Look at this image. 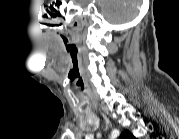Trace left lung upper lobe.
<instances>
[{
	"label": "left lung upper lobe",
	"mask_w": 179,
	"mask_h": 139,
	"mask_svg": "<svg viewBox=\"0 0 179 139\" xmlns=\"http://www.w3.org/2000/svg\"><path fill=\"white\" fill-rule=\"evenodd\" d=\"M121 137L126 138V139H133L134 138V136L129 131H124L121 134Z\"/></svg>",
	"instance_id": "1"
}]
</instances>
